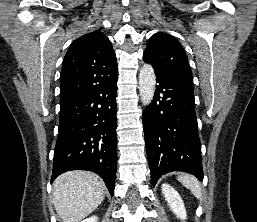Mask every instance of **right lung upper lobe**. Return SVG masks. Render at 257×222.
Wrapping results in <instances>:
<instances>
[{
  "label": "right lung upper lobe",
  "instance_id": "right-lung-upper-lobe-1",
  "mask_svg": "<svg viewBox=\"0 0 257 222\" xmlns=\"http://www.w3.org/2000/svg\"><path fill=\"white\" fill-rule=\"evenodd\" d=\"M117 72L116 55L101 31L87 33L70 45L60 75L61 105L92 91Z\"/></svg>",
  "mask_w": 257,
  "mask_h": 222
}]
</instances>
